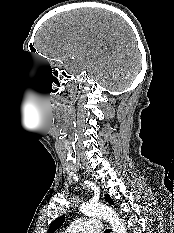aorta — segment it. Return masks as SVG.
Here are the masks:
<instances>
[{
  "label": "aorta",
  "instance_id": "762f6f07",
  "mask_svg": "<svg viewBox=\"0 0 174 233\" xmlns=\"http://www.w3.org/2000/svg\"><path fill=\"white\" fill-rule=\"evenodd\" d=\"M81 212L89 217L103 218L109 221L113 233H127V228L117 213L109 206L104 204H85L81 207Z\"/></svg>",
  "mask_w": 174,
  "mask_h": 233
}]
</instances>
